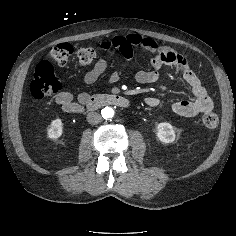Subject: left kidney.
<instances>
[{"label":"left kidney","mask_w":236,"mask_h":236,"mask_svg":"<svg viewBox=\"0 0 236 236\" xmlns=\"http://www.w3.org/2000/svg\"><path fill=\"white\" fill-rule=\"evenodd\" d=\"M156 135L162 143H173L176 138L173 126L167 122H162L157 125Z\"/></svg>","instance_id":"obj_1"}]
</instances>
